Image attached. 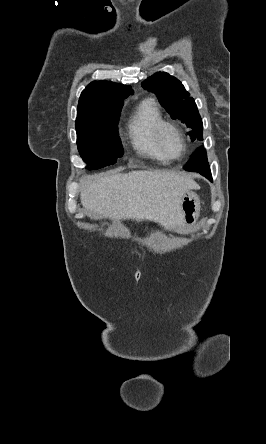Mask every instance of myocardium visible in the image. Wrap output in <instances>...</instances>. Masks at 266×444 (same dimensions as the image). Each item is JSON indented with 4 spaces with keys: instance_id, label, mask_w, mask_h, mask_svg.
Returning <instances> with one entry per match:
<instances>
[{
    "instance_id": "1",
    "label": "myocardium",
    "mask_w": 266,
    "mask_h": 444,
    "mask_svg": "<svg viewBox=\"0 0 266 444\" xmlns=\"http://www.w3.org/2000/svg\"><path fill=\"white\" fill-rule=\"evenodd\" d=\"M166 128H172V129L175 130L176 133L178 134V136H179V138H180V141H181V151H180V153H179L178 156H182V155L185 153V151H186V147H187V145H186V139H185V136H184L182 130L180 129V127H179L176 123L171 122V121L163 120V121L157 126V129H156V142H157V145H158L160 151H161L166 157H170V155L167 153L166 149L164 148V146H163V144H162V134H163V131H164Z\"/></svg>"
}]
</instances>
